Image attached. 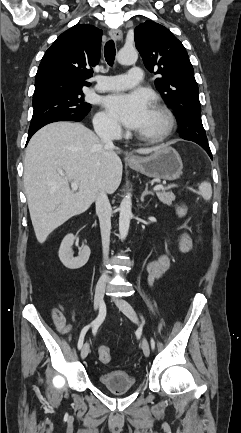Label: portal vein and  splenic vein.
<instances>
[{
	"label": "portal vein and splenic vein",
	"mask_w": 241,
	"mask_h": 433,
	"mask_svg": "<svg viewBox=\"0 0 241 433\" xmlns=\"http://www.w3.org/2000/svg\"><path fill=\"white\" fill-rule=\"evenodd\" d=\"M78 186H79V184L77 182L71 181V188H72V190H77ZM163 189H164L163 185H156L154 187V191H160V190H163Z\"/></svg>",
	"instance_id": "portal-vein-and-splenic-vein-1"
}]
</instances>
